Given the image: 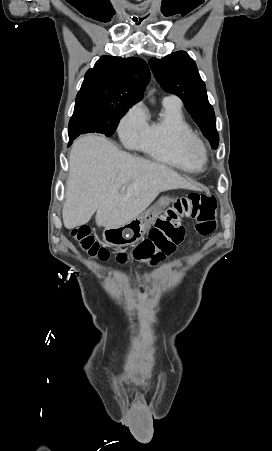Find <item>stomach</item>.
Listing matches in <instances>:
<instances>
[{"mask_svg":"<svg viewBox=\"0 0 272 451\" xmlns=\"http://www.w3.org/2000/svg\"><path fill=\"white\" fill-rule=\"evenodd\" d=\"M173 200L171 198H160L154 206L149 210H144L140 216H136L130 222L122 224L117 227H105L103 231V239L107 245H114V247H122V245H134L136 241L142 239L149 231L156 218H158L163 208L169 206Z\"/></svg>","mask_w":272,"mask_h":451,"instance_id":"0dacf381","label":"stomach"}]
</instances>
